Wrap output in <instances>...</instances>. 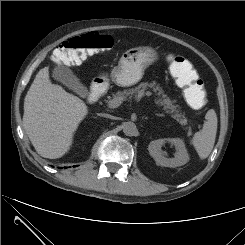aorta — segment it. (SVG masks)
<instances>
[{
	"label": "aorta",
	"instance_id": "aorta-1",
	"mask_svg": "<svg viewBox=\"0 0 245 245\" xmlns=\"http://www.w3.org/2000/svg\"><path fill=\"white\" fill-rule=\"evenodd\" d=\"M123 132L126 136H134L137 133V127L134 122H125L123 124Z\"/></svg>",
	"mask_w": 245,
	"mask_h": 245
}]
</instances>
